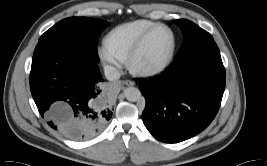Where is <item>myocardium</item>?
Segmentation results:
<instances>
[{
  "mask_svg": "<svg viewBox=\"0 0 267 166\" xmlns=\"http://www.w3.org/2000/svg\"><path fill=\"white\" fill-rule=\"evenodd\" d=\"M161 28L168 30L171 34L172 43H171V48H170V52H169L168 56L166 57V59L162 63H160L156 66L139 67L136 64V59H137L138 55L141 53V51L144 48L149 37L156 30L161 29ZM175 50H176V35H175L173 29L171 27H169L168 25H165V24H156L154 27H152L147 32H145L142 35V37L138 40V42L135 44V46L132 48V50L130 51V53L126 59L127 67L129 68L130 71H132L133 73L140 75V76L155 75V74L163 71L164 69H166L170 65L171 61L173 60Z\"/></svg>",
  "mask_w": 267,
  "mask_h": 166,
  "instance_id": "myocardium-1",
  "label": "myocardium"
}]
</instances>
